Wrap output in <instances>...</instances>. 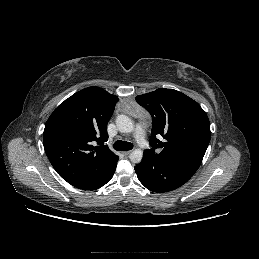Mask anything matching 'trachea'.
Segmentation results:
<instances>
[{"label":"trachea","instance_id":"trachea-1","mask_svg":"<svg viewBox=\"0 0 259 259\" xmlns=\"http://www.w3.org/2000/svg\"><path fill=\"white\" fill-rule=\"evenodd\" d=\"M114 149L117 151H128L131 150L133 148V144L130 142H124L121 140H117L114 145H113Z\"/></svg>","mask_w":259,"mask_h":259}]
</instances>
